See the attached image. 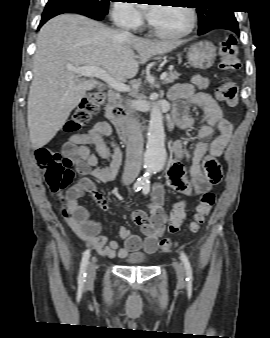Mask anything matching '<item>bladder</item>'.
<instances>
[{"label": "bladder", "mask_w": 270, "mask_h": 338, "mask_svg": "<svg viewBox=\"0 0 270 338\" xmlns=\"http://www.w3.org/2000/svg\"><path fill=\"white\" fill-rule=\"evenodd\" d=\"M125 261L131 266H143L147 261V257L143 254H134L126 257Z\"/></svg>", "instance_id": "1"}]
</instances>
